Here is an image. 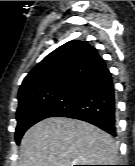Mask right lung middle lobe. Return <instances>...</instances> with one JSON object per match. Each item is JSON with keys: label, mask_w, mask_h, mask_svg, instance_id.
Returning a JSON list of instances; mask_svg holds the SVG:
<instances>
[{"label": "right lung middle lobe", "mask_w": 135, "mask_h": 166, "mask_svg": "<svg viewBox=\"0 0 135 166\" xmlns=\"http://www.w3.org/2000/svg\"><path fill=\"white\" fill-rule=\"evenodd\" d=\"M72 97V87L66 86L49 95L19 105L16 113V143H20L23 134L32 125L45 118L52 117L57 111L66 108Z\"/></svg>", "instance_id": "dd1d6c3e"}]
</instances>
